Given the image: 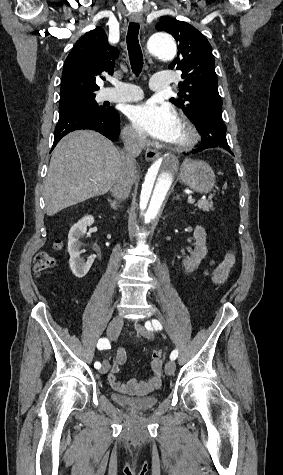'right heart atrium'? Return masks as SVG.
Segmentation results:
<instances>
[{
  "label": "right heart atrium",
  "mask_w": 283,
  "mask_h": 475,
  "mask_svg": "<svg viewBox=\"0 0 283 475\" xmlns=\"http://www.w3.org/2000/svg\"><path fill=\"white\" fill-rule=\"evenodd\" d=\"M125 145L131 150H142L146 145V140L143 136L136 133L131 127L126 126L122 131Z\"/></svg>",
  "instance_id": "obj_1"
}]
</instances>
